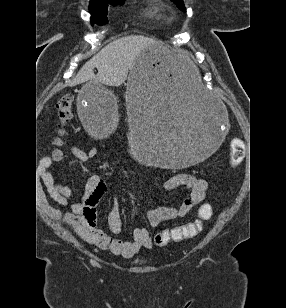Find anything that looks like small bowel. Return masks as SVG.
<instances>
[{"label":"small bowel","mask_w":286,"mask_h":308,"mask_svg":"<svg viewBox=\"0 0 286 308\" xmlns=\"http://www.w3.org/2000/svg\"><path fill=\"white\" fill-rule=\"evenodd\" d=\"M73 155L80 159H87L94 155L95 150L87 152L71 147ZM53 160L50 157L43 158L40 164L41 177L52 200L60 205H67L72 196V190L56 181L51 167ZM166 189L174 190L180 187L187 189V195L179 206H162L147 212L146 218L150 227H156L162 222L183 218L193 208L199 205L205 198L208 188L207 182L188 173H178L164 184ZM108 190L107 183L99 175H91L86 181L84 193L79 202L71 204L70 211L64 214V221L86 242L97 247L108 249L115 255L126 258L137 254L141 249L152 247V240L148 229L136 228L132 241H123L116 235L122 229L121 218L118 211V202L114 200L108 212V226L112 235L97 228V205L104 198ZM54 217H60V212L52 207L48 208Z\"/></svg>","instance_id":"small-bowel-1"}]
</instances>
